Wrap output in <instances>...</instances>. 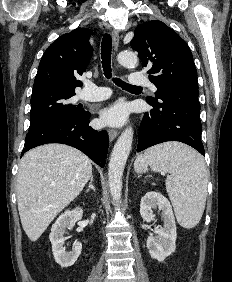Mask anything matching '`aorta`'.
I'll list each match as a JSON object with an SVG mask.
<instances>
[{"instance_id": "aorta-1", "label": "aorta", "mask_w": 232, "mask_h": 282, "mask_svg": "<svg viewBox=\"0 0 232 282\" xmlns=\"http://www.w3.org/2000/svg\"><path fill=\"white\" fill-rule=\"evenodd\" d=\"M118 62L128 68H133L138 63L137 55L132 51H121L117 56ZM133 142V130L125 129L114 145L108 168V181L110 194L114 202L121 198L122 176L124 167L131 151Z\"/></svg>"}]
</instances>
